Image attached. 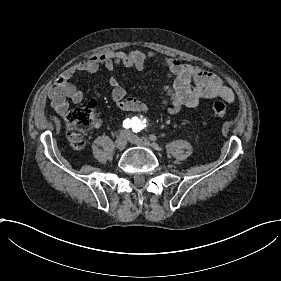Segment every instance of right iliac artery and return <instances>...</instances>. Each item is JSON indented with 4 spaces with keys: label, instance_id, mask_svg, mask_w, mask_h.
I'll use <instances>...</instances> for the list:
<instances>
[{
    "label": "right iliac artery",
    "instance_id": "right-iliac-artery-1",
    "mask_svg": "<svg viewBox=\"0 0 281 281\" xmlns=\"http://www.w3.org/2000/svg\"><path fill=\"white\" fill-rule=\"evenodd\" d=\"M133 126V121L130 120L129 118H127L126 120H124L123 122V127H125L126 129H129Z\"/></svg>",
    "mask_w": 281,
    "mask_h": 281
}]
</instances>
